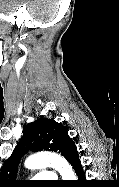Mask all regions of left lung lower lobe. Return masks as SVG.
Instances as JSON below:
<instances>
[{
  "mask_svg": "<svg viewBox=\"0 0 119 187\" xmlns=\"http://www.w3.org/2000/svg\"><path fill=\"white\" fill-rule=\"evenodd\" d=\"M67 161L72 165L73 169L75 170L79 181L78 182H83L85 180V172L83 170V167L81 165V161L79 159L78 151L76 145H73L71 148Z\"/></svg>",
  "mask_w": 119,
  "mask_h": 187,
  "instance_id": "obj_1",
  "label": "left lung lower lobe"
}]
</instances>
